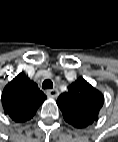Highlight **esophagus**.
<instances>
[{
  "instance_id": "esophagus-1",
  "label": "esophagus",
  "mask_w": 118,
  "mask_h": 142,
  "mask_svg": "<svg viewBox=\"0 0 118 142\" xmlns=\"http://www.w3.org/2000/svg\"><path fill=\"white\" fill-rule=\"evenodd\" d=\"M47 95L51 98H57L59 96V91L57 89H50L47 91Z\"/></svg>"
}]
</instances>
